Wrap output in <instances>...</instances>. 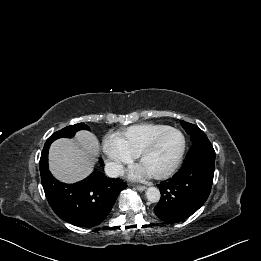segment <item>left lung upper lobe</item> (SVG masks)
<instances>
[{"label":"left lung upper lobe","instance_id":"left-lung-upper-lobe-1","mask_svg":"<svg viewBox=\"0 0 261 261\" xmlns=\"http://www.w3.org/2000/svg\"><path fill=\"white\" fill-rule=\"evenodd\" d=\"M182 127L186 130V132L191 136V141L196 142L202 137H205V133L196 125L182 121Z\"/></svg>","mask_w":261,"mask_h":261}]
</instances>
